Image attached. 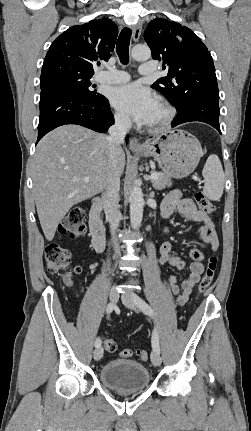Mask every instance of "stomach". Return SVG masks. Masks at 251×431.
<instances>
[{
	"label": "stomach",
	"mask_w": 251,
	"mask_h": 431,
	"mask_svg": "<svg viewBox=\"0 0 251 431\" xmlns=\"http://www.w3.org/2000/svg\"><path fill=\"white\" fill-rule=\"evenodd\" d=\"M136 154L153 157L165 175L181 179L196 169L203 151L197 138L184 130H173L146 142Z\"/></svg>",
	"instance_id": "stomach-1"
}]
</instances>
